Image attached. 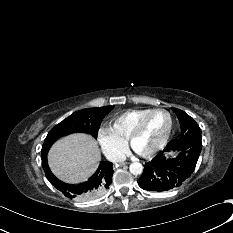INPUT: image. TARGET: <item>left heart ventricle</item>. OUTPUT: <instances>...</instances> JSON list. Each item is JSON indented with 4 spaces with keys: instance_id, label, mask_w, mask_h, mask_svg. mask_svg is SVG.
<instances>
[{
    "instance_id": "left-heart-ventricle-1",
    "label": "left heart ventricle",
    "mask_w": 233,
    "mask_h": 233,
    "mask_svg": "<svg viewBox=\"0 0 233 233\" xmlns=\"http://www.w3.org/2000/svg\"><path fill=\"white\" fill-rule=\"evenodd\" d=\"M169 125L165 112L153 113L146 121L141 133L134 141V147L139 152H146L156 146L164 137Z\"/></svg>"
}]
</instances>
